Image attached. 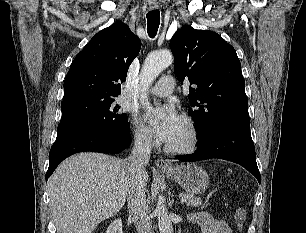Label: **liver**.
Segmentation results:
<instances>
[{
    "instance_id": "6515ba94",
    "label": "liver",
    "mask_w": 306,
    "mask_h": 233,
    "mask_svg": "<svg viewBox=\"0 0 306 233\" xmlns=\"http://www.w3.org/2000/svg\"><path fill=\"white\" fill-rule=\"evenodd\" d=\"M130 179L127 160L113 156L90 152L63 161L48 180L57 233H92L124 206Z\"/></svg>"
}]
</instances>
